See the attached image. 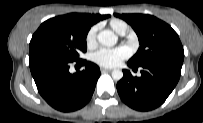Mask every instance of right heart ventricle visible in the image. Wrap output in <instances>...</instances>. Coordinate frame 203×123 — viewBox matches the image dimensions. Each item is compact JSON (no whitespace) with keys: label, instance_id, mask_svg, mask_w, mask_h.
Segmentation results:
<instances>
[{"label":"right heart ventricle","instance_id":"right-heart-ventricle-1","mask_svg":"<svg viewBox=\"0 0 203 123\" xmlns=\"http://www.w3.org/2000/svg\"><path fill=\"white\" fill-rule=\"evenodd\" d=\"M111 27L118 33L124 26H127L125 22L114 19L110 22Z\"/></svg>","mask_w":203,"mask_h":123}]
</instances>
